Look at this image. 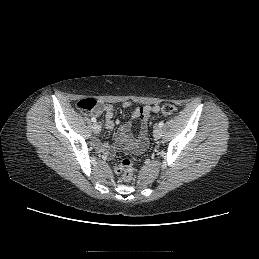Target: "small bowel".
<instances>
[{
    "instance_id": "obj_1",
    "label": "small bowel",
    "mask_w": 259,
    "mask_h": 259,
    "mask_svg": "<svg viewBox=\"0 0 259 259\" xmlns=\"http://www.w3.org/2000/svg\"><path fill=\"white\" fill-rule=\"evenodd\" d=\"M125 109L132 108V103L126 102L124 103ZM148 110V115L143 117L141 115V108L134 107L131 110V118L132 119H140V131L137 138H133L130 135L131 131V123L125 122L123 123L116 136V143L119 148L127 149L133 152H141L143 151L148 144V122L152 113H157L159 111L158 106H145ZM101 113H105V126L107 129L111 130L115 126L114 122V107L111 104H104L99 107L95 111V115H100ZM96 146L103 152L108 155H112L114 150L106 143H102L100 141H95Z\"/></svg>"
}]
</instances>
